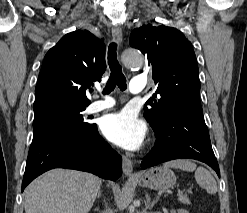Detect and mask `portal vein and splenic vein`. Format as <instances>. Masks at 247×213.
<instances>
[{
	"label": "portal vein and splenic vein",
	"mask_w": 247,
	"mask_h": 213,
	"mask_svg": "<svg viewBox=\"0 0 247 213\" xmlns=\"http://www.w3.org/2000/svg\"><path fill=\"white\" fill-rule=\"evenodd\" d=\"M177 195L178 196L183 195V191L182 190H178Z\"/></svg>",
	"instance_id": "portal-vein-and-splenic-vein-1"
}]
</instances>
